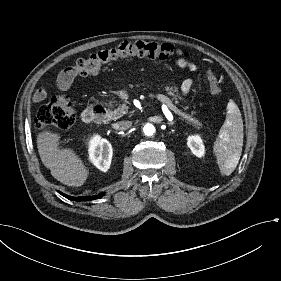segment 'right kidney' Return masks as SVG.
Returning a JSON list of instances; mask_svg holds the SVG:
<instances>
[{
    "label": "right kidney",
    "instance_id": "right-kidney-1",
    "mask_svg": "<svg viewBox=\"0 0 281 281\" xmlns=\"http://www.w3.org/2000/svg\"><path fill=\"white\" fill-rule=\"evenodd\" d=\"M88 154L90 162L99 170L106 172L110 168L112 160V146L108 140L93 134L88 139Z\"/></svg>",
    "mask_w": 281,
    "mask_h": 281
}]
</instances>
